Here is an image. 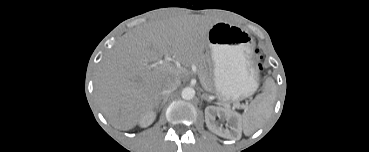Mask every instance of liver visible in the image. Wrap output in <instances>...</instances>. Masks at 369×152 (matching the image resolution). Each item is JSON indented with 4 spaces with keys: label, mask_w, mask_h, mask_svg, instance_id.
Masks as SVG:
<instances>
[{
    "label": "liver",
    "mask_w": 369,
    "mask_h": 152,
    "mask_svg": "<svg viewBox=\"0 0 369 152\" xmlns=\"http://www.w3.org/2000/svg\"><path fill=\"white\" fill-rule=\"evenodd\" d=\"M212 25L177 16L124 34L100 63L95 80L97 101L110 124L129 130L152 112L165 82L179 81L187 75L185 67L197 62ZM167 55L185 67L159 63Z\"/></svg>",
    "instance_id": "6515ba94"
}]
</instances>
